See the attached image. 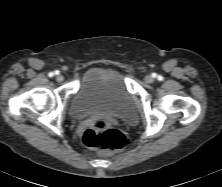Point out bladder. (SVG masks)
<instances>
[{"instance_id": "1", "label": "bladder", "mask_w": 222, "mask_h": 187, "mask_svg": "<svg viewBox=\"0 0 222 187\" xmlns=\"http://www.w3.org/2000/svg\"><path fill=\"white\" fill-rule=\"evenodd\" d=\"M68 110L75 120L98 113L124 122L136 119L133 97L119 71L113 67H97L88 72L74 93Z\"/></svg>"}]
</instances>
